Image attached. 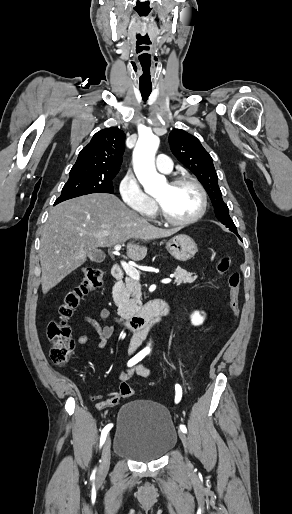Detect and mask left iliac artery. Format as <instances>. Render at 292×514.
<instances>
[{
    "label": "left iliac artery",
    "mask_w": 292,
    "mask_h": 514,
    "mask_svg": "<svg viewBox=\"0 0 292 514\" xmlns=\"http://www.w3.org/2000/svg\"><path fill=\"white\" fill-rule=\"evenodd\" d=\"M175 390H176V397H175V401H176V403H178V402L180 401V399H181V396H182V388H181V386H180L179 384H176V385H175ZM179 428H180V430H181L182 432H184V433H186V432H187V428L185 427V425L181 424V425L179 426Z\"/></svg>",
    "instance_id": "1"
}]
</instances>
